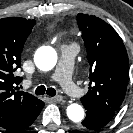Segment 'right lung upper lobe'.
Segmentation results:
<instances>
[{"instance_id":"cb5924a9","label":"right lung upper lobe","mask_w":133,"mask_h":133,"mask_svg":"<svg viewBox=\"0 0 133 133\" xmlns=\"http://www.w3.org/2000/svg\"><path fill=\"white\" fill-rule=\"evenodd\" d=\"M35 20L25 18L0 19V127L7 128L39 101L17 85L22 78L15 76L21 66L24 43L31 33Z\"/></svg>"}]
</instances>
